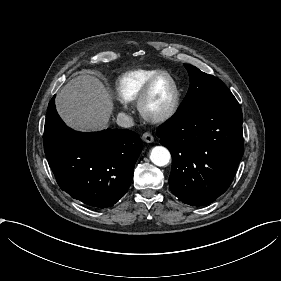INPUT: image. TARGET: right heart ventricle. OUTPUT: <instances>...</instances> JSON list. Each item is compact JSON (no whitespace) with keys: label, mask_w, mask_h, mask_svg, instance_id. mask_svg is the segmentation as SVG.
<instances>
[{"label":"right heart ventricle","mask_w":281,"mask_h":281,"mask_svg":"<svg viewBox=\"0 0 281 281\" xmlns=\"http://www.w3.org/2000/svg\"><path fill=\"white\" fill-rule=\"evenodd\" d=\"M165 72L157 69H140L123 74L115 83L117 98L123 103L137 101L147 83L153 77Z\"/></svg>","instance_id":"1"}]
</instances>
